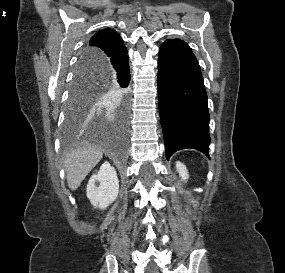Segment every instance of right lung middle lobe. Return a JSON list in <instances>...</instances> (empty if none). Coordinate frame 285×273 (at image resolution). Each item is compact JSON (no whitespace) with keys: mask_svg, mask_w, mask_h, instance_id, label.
<instances>
[{"mask_svg":"<svg viewBox=\"0 0 285 273\" xmlns=\"http://www.w3.org/2000/svg\"><path fill=\"white\" fill-rule=\"evenodd\" d=\"M105 95H114L125 99L126 91L116 88L105 77L91 69L77 67L69 95L66 112V127L75 128L88 113L92 105Z\"/></svg>","mask_w":285,"mask_h":273,"instance_id":"1","label":"right lung middle lobe"}]
</instances>
